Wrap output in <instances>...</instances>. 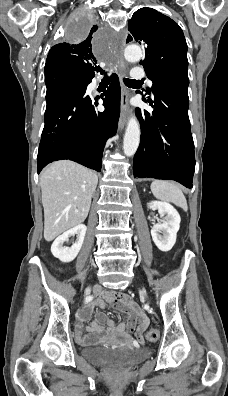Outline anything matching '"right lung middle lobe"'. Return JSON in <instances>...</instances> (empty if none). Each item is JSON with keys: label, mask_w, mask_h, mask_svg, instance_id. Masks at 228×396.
<instances>
[{"label": "right lung middle lobe", "mask_w": 228, "mask_h": 396, "mask_svg": "<svg viewBox=\"0 0 228 396\" xmlns=\"http://www.w3.org/2000/svg\"><path fill=\"white\" fill-rule=\"evenodd\" d=\"M91 18L86 14H80L73 18L71 28L81 37L86 34L90 28ZM96 26H94L95 28ZM85 78L80 77L71 72L50 73L45 75V83L47 87L46 102L47 105L52 103L55 98L64 92L73 88L83 87L85 85Z\"/></svg>", "instance_id": "dd1d6c3e"}]
</instances>
